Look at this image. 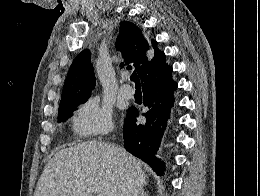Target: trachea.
<instances>
[{
	"label": "trachea",
	"mask_w": 260,
	"mask_h": 196,
	"mask_svg": "<svg viewBox=\"0 0 260 196\" xmlns=\"http://www.w3.org/2000/svg\"><path fill=\"white\" fill-rule=\"evenodd\" d=\"M130 80L134 81L136 86H141V83H140V80H139V77H138L136 71H133V73L130 76Z\"/></svg>",
	"instance_id": "trachea-1"
}]
</instances>
